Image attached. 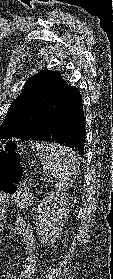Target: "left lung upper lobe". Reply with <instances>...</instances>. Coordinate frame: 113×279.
<instances>
[{
  "instance_id": "5c2ea615",
  "label": "left lung upper lobe",
  "mask_w": 113,
  "mask_h": 279,
  "mask_svg": "<svg viewBox=\"0 0 113 279\" xmlns=\"http://www.w3.org/2000/svg\"><path fill=\"white\" fill-rule=\"evenodd\" d=\"M58 71L41 70L26 81L21 95L12 103L8 115L0 125L1 138H18L36 109L38 103L51 93L61 78Z\"/></svg>"
}]
</instances>
